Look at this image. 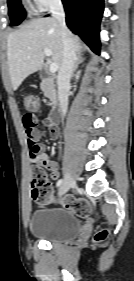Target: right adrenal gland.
<instances>
[{"mask_svg": "<svg viewBox=\"0 0 134 281\" xmlns=\"http://www.w3.org/2000/svg\"><path fill=\"white\" fill-rule=\"evenodd\" d=\"M85 61V58L83 57V51H79L77 53L76 63L74 67V72L77 70L79 64L83 63Z\"/></svg>", "mask_w": 134, "mask_h": 281, "instance_id": "right-adrenal-gland-1", "label": "right adrenal gland"}]
</instances>
